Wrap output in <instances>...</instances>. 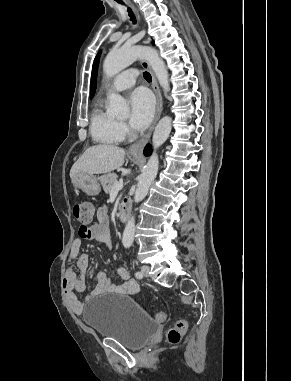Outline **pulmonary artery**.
I'll list each match as a JSON object with an SVG mask.
<instances>
[{"mask_svg": "<svg viewBox=\"0 0 291 381\" xmlns=\"http://www.w3.org/2000/svg\"><path fill=\"white\" fill-rule=\"evenodd\" d=\"M138 73L134 69H128L117 75L113 82L112 87L116 91H122L135 85Z\"/></svg>", "mask_w": 291, "mask_h": 381, "instance_id": "pulmonary-artery-1", "label": "pulmonary artery"}]
</instances>
